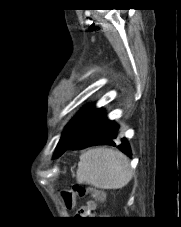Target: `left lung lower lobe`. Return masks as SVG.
I'll use <instances>...</instances> for the list:
<instances>
[{
	"label": "left lung lower lobe",
	"mask_w": 181,
	"mask_h": 227,
	"mask_svg": "<svg viewBox=\"0 0 181 227\" xmlns=\"http://www.w3.org/2000/svg\"><path fill=\"white\" fill-rule=\"evenodd\" d=\"M118 128L119 126L107 120L104 111L99 109L92 115L79 136L63 148L58 157L68 149L77 150L94 145L117 146L127 156H131V149L125 138L121 139V144H116Z\"/></svg>",
	"instance_id": "0a47b994"
}]
</instances>
